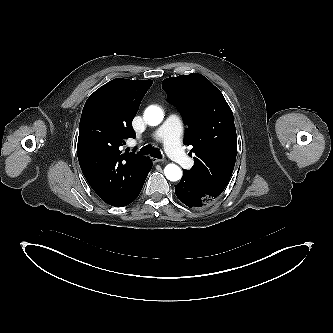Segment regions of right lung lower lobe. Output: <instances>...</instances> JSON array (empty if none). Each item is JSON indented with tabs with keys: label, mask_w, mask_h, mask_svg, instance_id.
<instances>
[{
	"label": "right lung lower lobe",
	"mask_w": 333,
	"mask_h": 333,
	"mask_svg": "<svg viewBox=\"0 0 333 333\" xmlns=\"http://www.w3.org/2000/svg\"><path fill=\"white\" fill-rule=\"evenodd\" d=\"M152 168V162L149 160L145 166V168L143 169L139 179L137 180L136 186L134 191L132 192L131 196L128 198V200L121 206H126L130 203H132L139 195L143 185H144V181L150 171V169Z\"/></svg>",
	"instance_id": "98d812e1"
}]
</instances>
